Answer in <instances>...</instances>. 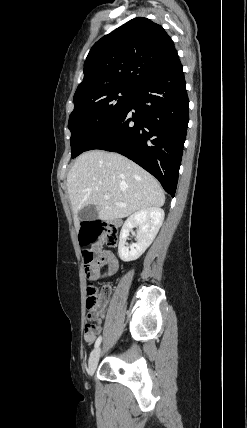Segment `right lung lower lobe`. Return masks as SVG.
Returning a JSON list of instances; mask_svg holds the SVG:
<instances>
[{
  "label": "right lung lower lobe",
  "mask_w": 247,
  "mask_h": 428,
  "mask_svg": "<svg viewBox=\"0 0 247 428\" xmlns=\"http://www.w3.org/2000/svg\"><path fill=\"white\" fill-rule=\"evenodd\" d=\"M189 100L179 58L137 89L122 114L86 149L120 153L175 195L189 121Z\"/></svg>",
  "instance_id": "obj_1"
}]
</instances>
